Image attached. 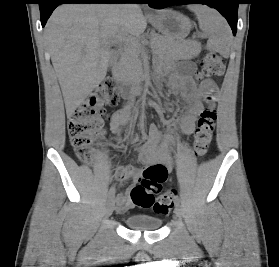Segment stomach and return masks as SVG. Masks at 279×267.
<instances>
[{
  "label": "stomach",
  "mask_w": 279,
  "mask_h": 267,
  "mask_svg": "<svg viewBox=\"0 0 279 267\" xmlns=\"http://www.w3.org/2000/svg\"><path fill=\"white\" fill-rule=\"evenodd\" d=\"M150 22L162 35L172 40H183L191 30L189 18L173 10L158 12Z\"/></svg>",
  "instance_id": "stomach-1"
}]
</instances>
